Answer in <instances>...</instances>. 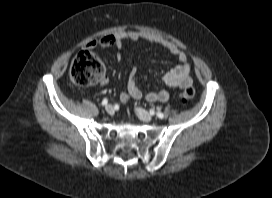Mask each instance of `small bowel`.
I'll use <instances>...</instances> for the list:
<instances>
[{"mask_svg": "<svg viewBox=\"0 0 272 198\" xmlns=\"http://www.w3.org/2000/svg\"><path fill=\"white\" fill-rule=\"evenodd\" d=\"M144 39L150 43L157 44L166 49L171 55L175 56L179 64L172 70L165 73L162 81L169 87L176 88H189L192 86V79L190 77V65L187 60L186 54L174 43L151 33H145L137 30H126L108 34L99 40L91 41L87 47L89 49L106 48L115 46L118 49L123 47L124 41H136ZM117 61L122 59L120 54L116 56ZM107 79H104L102 84L105 85ZM143 96L141 89L138 85V76L136 68H133L128 76L127 91L122 92L119 96L122 103L128 102L132 99H141ZM146 100L149 102H166L169 100V93L165 90L151 91L146 94Z\"/></svg>", "mask_w": 272, "mask_h": 198, "instance_id": "small-bowel-1", "label": "small bowel"}]
</instances>
